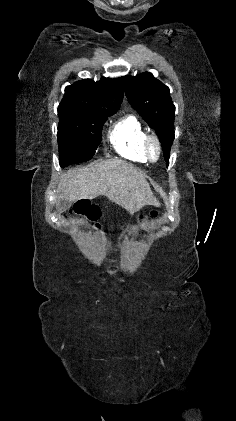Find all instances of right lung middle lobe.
<instances>
[{"label": "right lung middle lobe", "instance_id": "1", "mask_svg": "<svg viewBox=\"0 0 236 421\" xmlns=\"http://www.w3.org/2000/svg\"><path fill=\"white\" fill-rule=\"evenodd\" d=\"M118 109L92 105L58 107V145L61 167L90 160L101 142V131L107 116Z\"/></svg>", "mask_w": 236, "mask_h": 421}]
</instances>
